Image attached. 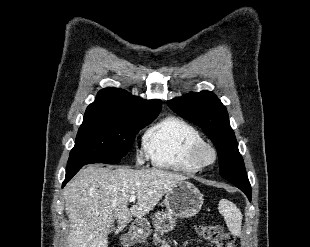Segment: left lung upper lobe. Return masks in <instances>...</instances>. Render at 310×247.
Wrapping results in <instances>:
<instances>
[{
  "mask_svg": "<svg viewBox=\"0 0 310 247\" xmlns=\"http://www.w3.org/2000/svg\"><path fill=\"white\" fill-rule=\"evenodd\" d=\"M178 115L201 127L215 144L220 174L226 180L247 177L235 134L230 126L226 107L209 91L189 93L167 101Z\"/></svg>",
  "mask_w": 310,
  "mask_h": 247,
  "instance_id": "1",
  "label": "left lung upper lobe"
}]
</instances>
